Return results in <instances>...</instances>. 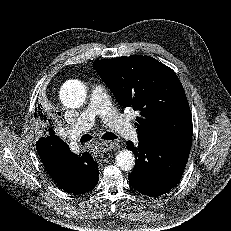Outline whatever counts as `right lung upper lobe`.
Here are the masks:
<instances>
[{
  "instance_id": "obj_1",
  "label": "right lung upper lobe",
  "mask_w": 231,
  "mask_h": 231,
  "mask_svg": "<svg viewBox=\"0 0 231 231\" xmlns=\"http://www.w3.org/2000/svg\"><path fill=\"white\" fill-rule=\"evenodd\" d=\"M46 115L43 114L41 108L38 106L36 109H35V113H34V117L36 120H38V122H43V120L46 121Z\"/></svg>"
}]
</instances>
